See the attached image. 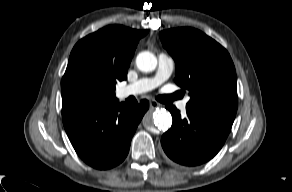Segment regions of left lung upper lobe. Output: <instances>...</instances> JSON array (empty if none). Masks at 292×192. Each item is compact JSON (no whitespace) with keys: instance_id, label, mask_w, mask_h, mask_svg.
<instances>
[{"instance_id":"obj_1","label":"left lung upper lobe","mask_w":292,"mask_h":192,"mask_svg":"<svg viewBox=\"0 0 292 192\" xmlns=\"http://www.w3.org/2000/svg\"><path fill=\"white\" fill-rule=\"evenodd\" d=\"M159 36L175 60L176 84L189 92L186 110L235 118L237 80L227 50L190 27L164 30Z\"/></svg>"}]
</instances>
